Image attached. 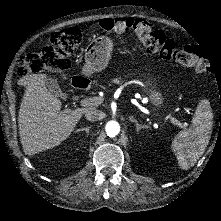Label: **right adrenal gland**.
Returning <instances> with one entry per match:
<instances>
[{
    "label": "right adrenal gland",
    "mask_w": 221,
    "mask_h": 221,
    "mask_svg": "<svg viewBox=\"0 0 221 221\" xmlns=\"http://www.w3.org/2000/svg\"><path fill=\"white\" fill-rule=\"evenodd\" d=\"M90 128H91V126H87V127H84V128H81V129L76 130V132H79V131H85V132L88 134Z\"/></svg>",
    "instance_id": "obj_1"
}]
</instances>
